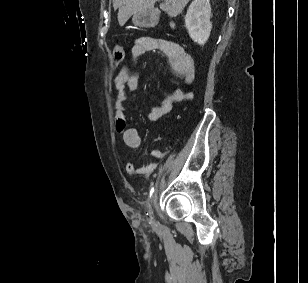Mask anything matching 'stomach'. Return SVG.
<instances>
[{"label":"stomach","mask_w":308,"mask_h":283,"mask_svg":"<svg viewBox=\"0 0 308 283\" xmlns=\"http://www.w3.org/2000/svg\"><path fill=\"white\" fill-rule=\"evenodd\" d=\"M133 23L136 26L145 27L153 24V16L150 12H140L133 16Z\"/></svg>","instance_id":"1"}]
</instances>
